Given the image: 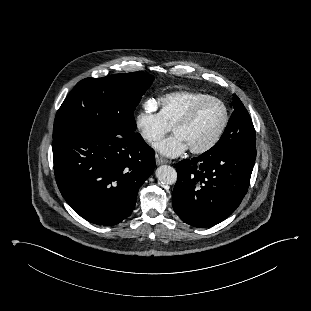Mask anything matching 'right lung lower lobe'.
Listing matches in <instances>:
<instances>
[{"mask_svg": "<svg viewBox=\"0 0 311 311\" xmlns=\"http://www.w3.org/2000/svg\"><path fill=\"white\" fill-rule=\"evenodd\" d=\"M58 188L87 221L117 224L134 209L139 188L155 168L154 150L140 134L124 138L91 134L53 139Z\"/></svg>", "mask_w": 311, "mask_h": 311, "instance_id": "right-lung-lower-lobe-1", "label": "right lung lower lobe"}]
</instances>
